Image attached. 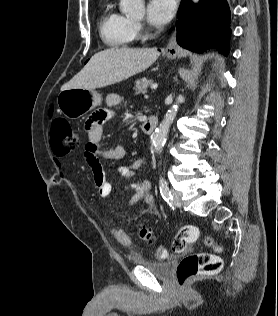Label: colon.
<instances>
[{"instance_id": "5ec220e1", "label": "colon", "mask_w": 278, "mask_h": 316, "mask_svg": "<svg viewBox=\"0 0 278 316\" xmlns=\"http://www.w3.org/2000/svg\"><path fill=\"white\" fill-rule=\"evenodd\" d=\"M82 136L79 131L74 129L66 120L56 119L50 129V145L56 156L66 155L81 144ZM141 239L152 243L153 234L145 226L139 228ZM200 236V229L194 225L183 226L175 235L172 242L174 253L183 252L190 243L196 241ZM206 243L216 251L220 250L217 242L210 236L206 237ZM155 255L158 258H165L167 255L163 247H157ZM222 267L221 259L213 254L206 252L194 253L186 256L180 262L177 269V280L180 286L186 285L191 279L218 272Z\"/></svg>"}]
</instances>
